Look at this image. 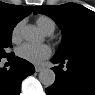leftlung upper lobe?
Returning <instances> with one entry per match:
<instances>
[{"instance_id": "obj_1", "label": "left lung upper lobe", "mask_w": 95, "mask_h": 95, "mask_svg": "<svg viewBox=\"0 0 95 95\" xmlns=\"http://www.w3.org/2000/svg\"><path fill=\"white\" fill-rule=\"evenodd\" d=\"M34 13L50 16L62 29L63 41L56 57L69 59L95 55V12L75 3L35 7Z\"/></svg>"}]
</instances>
